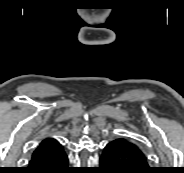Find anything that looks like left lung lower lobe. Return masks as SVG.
<instances>
[{"label": "left lung lower lobe", "instance_id": "obj_1", "mask_svg": "<svg viewBox=\"0 0 184 173\" xmlns=\"http://www.w3.org/2000/svg\"><path fill=\"white\" fill-rule=\"evenodd\" d=\"M102 173H153L145 159L132 146V142L118 138L109 142L100 157Z\"/></svg>", "mask_w": 184, "mask_h": 173}]
</instances>
